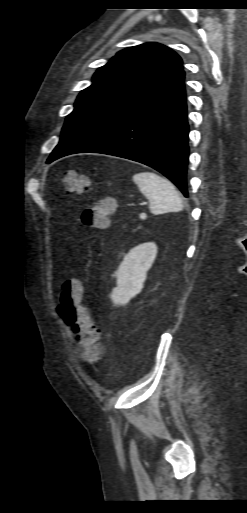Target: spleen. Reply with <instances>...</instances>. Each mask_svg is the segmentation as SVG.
Masks as SVG:
<instances>
[{"label":"spleen","mask_w":247,"mask_h":513,"mask_svg":"<svg viewBox=\"0 0 247 513\" xmlns=\"http://www.w3.org/2000/svg\"><path fill=\"white\" fill-rule=\"evenodd\" d=\"M132 180L148 198L152 214L160 215L184 209L182 198L169 180L149 171L135 173Z\"/></svg>","instance_id":"3e777b00"}]
</instances>
